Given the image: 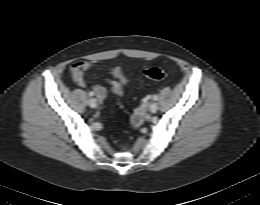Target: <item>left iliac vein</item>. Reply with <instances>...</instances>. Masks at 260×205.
<instances>
[{
  "label": "left iliac vein",
  "mask_w": 260,
  "mask_h": 205,
  "mask_svg": "<svg viewBox=\"0 0 260 205\" xmlns=\"http://www.w3.org/2000/svg\"><path fill=\"white\" fill-rule=\"evenodd\" d=\"M158 109V104L156 102H152L150 105H149V110L151 113H155Z\"/></svg>",
  "instance_id": "1"
}]
</instances>
